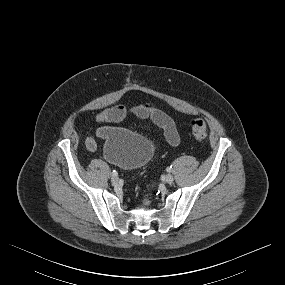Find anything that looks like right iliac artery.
Returning a JSON list of instances; mask_svg holds the SVG:
<instances>
[{
	"instance_id": "right-iliac-artery-1",
	"label": "right iliac artery",
	"mask_w": 285,
	"mask_h": 285,
	"mask_svg": "<svg viewBox=\"0 0 285 285\" xmlns=\"http://www.w3.org/2000/svg\"><path fill=\"white\" fill-rule=\"evenodd\" d=\"M112 175L117 176L118 175L117 171L113 170Z\"/></svg>"
}]
</instances>
